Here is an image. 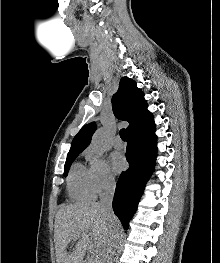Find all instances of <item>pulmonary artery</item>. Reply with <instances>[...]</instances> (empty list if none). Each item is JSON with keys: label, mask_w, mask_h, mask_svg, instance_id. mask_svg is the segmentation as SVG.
Here are the masks:
<instances>
[{"label": "pulmonary artery", "mask_w": 220, "mask_h": 263, "mask_svg": "<svg viewBox=\"0 0 220 263\" xmlns=\"http://www.w3.org/2000/svg\"><path fill=\"white\" fill-rule=\"evenodd\" d=\"M113 145H114L115 148L120 149V148L123 147V142H122V140H121L119 137H117V138L114 140Z\"/></svg>", "instance_id": "obj_1"}]
</instances>
